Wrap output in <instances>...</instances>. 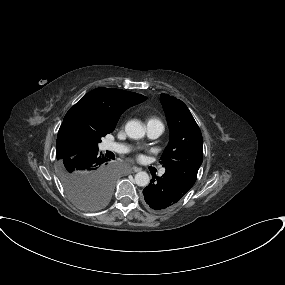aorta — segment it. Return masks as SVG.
Here are the masks:
<instances>
[{
  "instance_id": "obj_1",
  "label": "aorta",
  "mask_w": 285,
  "mask_h": 285,
  "mask_svg": "<svg viewBox=\"0 0 285 285\" xmlns=\"http://www.w3.org/2000/svg\"><path fill=\"white\" fill-rule=\"evenodd\" d=\"M125 132L132 139H141L145 136V128L138 120H130L125 125ZM150 182L148 173L141 171L135 175V183L138 186H147Z\"/></svg>"
}]
</instances>
